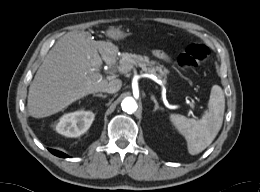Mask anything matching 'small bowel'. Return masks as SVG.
<instances>
[{
	"mask_svg": "<svg viewBox=\"0 0 260 192\" xmlns=\"http://www.w3.org/2000/svg\"><path fill=\"white\" fill-rule=\"evenodd\" d=\"M154 55L157 57V58H159V59H161V60H164V61H169V56L165 53V52H163V51H161V50H154Z\"/></svg>",
	"mask_w": 260,
	"mask_h": 192,
	"instance_id": "obj_1",
	"label": "small bowel"
}]
</instances>
